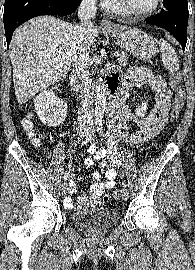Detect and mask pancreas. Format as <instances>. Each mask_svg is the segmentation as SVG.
Wrapping results in <instances>:
<instances>
[{
  "mask_svg": "<svg viewBox=\"0 0 195 270\" xmlns=\"http://www.w3.org/2000/svg\"><path fill=\"white\" fill-rule=\"evenodd\" d=\"M127 61H128L127 54L122 53V54L119 55V57H118V63L120 65H123V66L127 65Z\"/></svg>",
  "mask_w": 195,
  "mask_h": 270,
  "instance_id": "cf45deb5",
  "label": "pancreas"
}]
</instances>
